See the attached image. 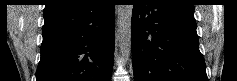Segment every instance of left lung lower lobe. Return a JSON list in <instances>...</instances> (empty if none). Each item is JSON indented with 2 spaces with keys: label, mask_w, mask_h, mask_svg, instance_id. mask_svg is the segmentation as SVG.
Wrapping results in <instances>:
<instances>
[{
  "label": "left lung lower lobe",
  "mask_w": 237,
  "mask_h": 81,
  "mask_svg": "<svg viewBox=\"0 0 237 81\" xmlns=\"http://www.w3.org/2000/svg\"><path fill=\"white\" fill-rule=\"evenodd\" d=\"M131 42L135 81H208L194 9L135 0Z\"/></svg>",
  "instance_id": "left-lung-lower-lobe-1"
}]
</instances>
